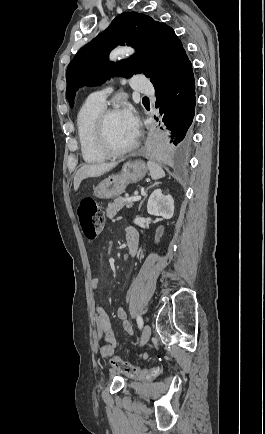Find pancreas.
<instances>
[{"label": "pancreas", "mask_w": 265, "mask_h": 434, "mask_svg": "<svg viewBox=\"0 0 265 434\" xmlns=\"http://www.w3.org/2000/svg\"><path fill=\"white\" fill-rule=\"evenodd\" d=\"M123 206H126V208H132L133 202H125V198H121V196L115 198L113 204H108L106 210L107 218H113V216H116L117 212H119Z\"/></svg>", "instance_id": "cf45deb5"}]
</instances>
